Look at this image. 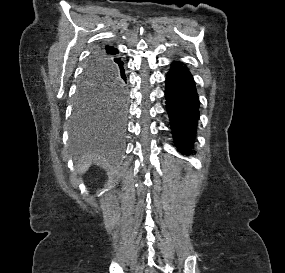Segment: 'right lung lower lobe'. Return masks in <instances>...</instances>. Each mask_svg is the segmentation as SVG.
Returning a JSON list of instances; mask_svg holds the SVG:
<instances>
[{
    "label": "right lung lower lobe",
    "mask_w": 285,
    "mask_h": 273,
    "mask_svg": "<svg viewBox=\"0 0 285 273\" xmlns=\"http://www.w3.org/2000/svg\"><path fill=\"white\" fill-rule=\"evenodd\" d=\"M118 54V53H117ZM116 55V54H115ZM112 61V65L116 71V76L117 78L123 83L125 84L126 82V76H125V70L123 68V62L121 61V59L117 56H112L111 58Z\"/></svg>",
    "instance_id": "1"
}]
</instances>
